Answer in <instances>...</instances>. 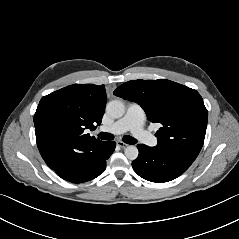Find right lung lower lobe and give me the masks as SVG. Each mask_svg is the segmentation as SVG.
<instances>
[{"label": "right lung lower lobe", "mask_w": 239, "mask_h": 239, "mask_svg": "<svg viewBox=\"0 0 239 239\" xmlns=\"http://www.w3.org/2000/svg\"><path fill=\"white\" fill-rule=\"evenodd\" d=\"M115 145L114 141H102L84 151H66L52 170L62 179L72 183L92 180L104 172L106 160L113 153Z\"/></svg>", "instance_id": "1"}]
</instances>
